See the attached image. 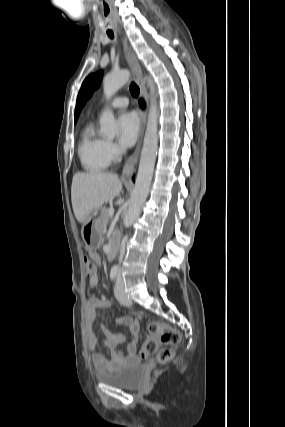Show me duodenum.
<instances>
[{
  "label": "duodenum",
  "instance_id": "1",
  "mask_svg": "<svg viewBox=\"0 0 285 427\" xmlns=\"http://www.w3.org/2000/svg\"><path fill=\"white\" fill-rule=\"evenodd\" d=\"M118 240H119L118 234L113 233L111 235V238L109 240L108 247H107V256L109 259H112L115 256L117 246H118Z\"/></svg>",
  "mask_w": 285,
  "mask_h": 427
}]
</instances>
